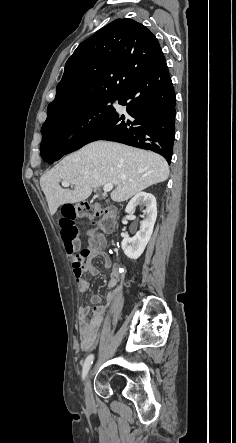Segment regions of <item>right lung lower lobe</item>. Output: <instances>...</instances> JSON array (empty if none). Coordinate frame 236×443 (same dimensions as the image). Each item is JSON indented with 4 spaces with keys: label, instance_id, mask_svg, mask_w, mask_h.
<instances>
[{
    "label": "right lung lower lobe",
    "instance_id": "1",
    "mask_svg": "<svg viewBox=\"0 0 236 443\" xmlns=\"http://www.w3.org/2000/svg\"><path fill=\"white\" fill-rule=\"evenodd\" d=\"M127 115L115 109L67 146L40 149L44 161L52 164L63 155L95 140H109L152 150L170 164L174 144L176 97L168 67L162 56L151 70L136 79L118 97Z\"/></svg>",
    "mask_w": 236,
    "mask_h": 443
}]
</instances>
